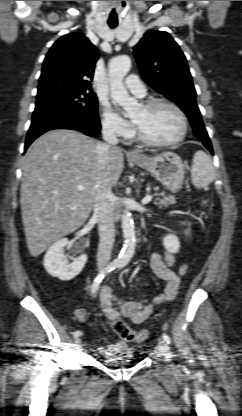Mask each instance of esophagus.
<instances>
[{
  "label": "esophagus",
  "mask_w": 242,
  "mask_h": 416,
  "mask_svg": "<svg viewBox=\"0 0 242 416\" xmlns=\"http://www.w3.org/2000/svg\"><path fill=\"white\" fill-rule=\"evenodd\" d=\"M127 154H128V156L133 157V158H140L141 157L140 153H138L137 151H133V150L129 151Z\"/></svg>",
  "instance_id": "34e87169"
}]
</instances>
